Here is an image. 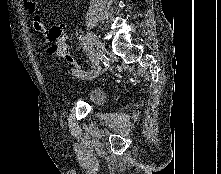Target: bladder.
<instances>
[{"instance_id":"31cf9c89","label":"bladder","mask_w":221,"mask_h":174,"mask_svg":"<svg viewBox=\"0 0 221 174\" xmlns=\"http://www.w3.org/2000/svg\"><path fill=\"white\" fill-rule=\"evenodd\" d=\"M69 98L82 99L91 105L98 106L105 102L106 93L101 87L87 86L78 92L69 95Z\"/></svg>"}]
</instances>
